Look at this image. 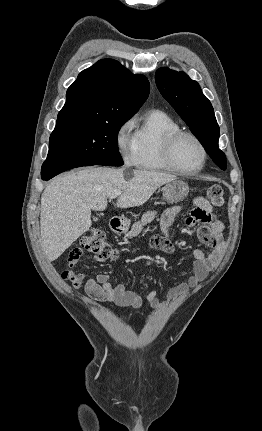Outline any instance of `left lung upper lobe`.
<instances>
[{"label":"left lung upper lobe","instance_id":"1","mask_svg":"<svg viewBox=\"0 0 262 431\" xmlns=\"http://www.w3.org/2000/svg\"><path fill=\"white\" fill-rule=\"evenodd\" d=\"M155 81L162 96L190 127L215 164L225 170L226 157L218 147L219 126L199 84L184 72L168 68L158 69Z\"/></svg>","mask_w":262,"mask_h":431}]
</instances>
